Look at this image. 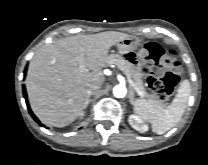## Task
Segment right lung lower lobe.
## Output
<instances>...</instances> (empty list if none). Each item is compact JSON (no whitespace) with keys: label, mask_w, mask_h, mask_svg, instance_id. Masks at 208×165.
I'll return each instance as SVG.
<instances>
[{"label":"right lung lower lobe","mask_w":208,"mask_h":165,"mask_svg":"<svg viewBox=\"0 0 208 165\" xmlns=\"http://www.w3.org/2000/svg\"><path fill=\"white\" fill-rule=\"evenodd\" d=\"M26 70H27V69H25V71H24V75L26 74ZM23 95H24V98H25V100H26V104H27L29 113L31 114V116L33 117V119H34L37 123H39L40 125H42V124L40 123V121L37 119V117L33 114V112H32L31 109H30V106H29L28 100H27V94H26L25 87H23Z\"/></svg>","instance_id":"right-lung-lower-lobe-1"}]
</instances>
